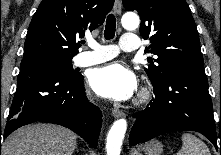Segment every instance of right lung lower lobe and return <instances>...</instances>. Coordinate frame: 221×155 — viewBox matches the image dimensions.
<instances>
[{
    "label": "right lung lower lobe",
    "mask_w": 221,
    "mask_h": 155,
    "mask_svg": "<svg viewBox=\"0 0 221 155\" xmlns=\"http://www.w3.org/2000/svg\"><path fill=\"white\" fill-rule=\"evenodd\" d=\"M36 121L65 126L96 148L102 113L86 99L81 74L68 77L51 65L27 62L20 66L4 137Z\"/></svg>",
    "instance_id": "98d812e1"
}]
</instances>
